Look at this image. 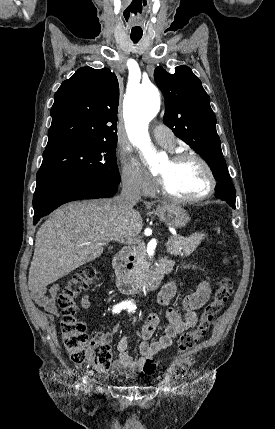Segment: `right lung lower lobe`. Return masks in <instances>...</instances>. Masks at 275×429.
I'll use <instances>...</instances> for the list:
<instances>
[{"label":"right lung lower lobe","mask_w":275,"mask_h":429,"mask_svg":"<svg viewBox=\"0 0 275 429\" xmlns=\"http://www.w3.org/2000/svg\"><path fill=\"white\" fill-rule=\"evenodd\" d=\"M118 185L103 179L84 177L63 180L37 190L33 196L34 224L64 203L112 197Z\"/></svg>","instance_id":"1"}]
</instances>
